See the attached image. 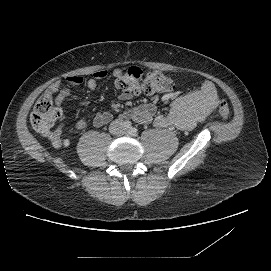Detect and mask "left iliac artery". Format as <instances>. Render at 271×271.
I'll use <instances>...</instances> for the list:
<instances>
[{
	"instance_id": "1",
	"label": "left iliac artery",
	"mask_w": 271,
	"mask_h": 271,
	"mask_svg": "<svg viewBox=\"0 0 271 271\" xmlns=\"http://www.w3.org/2000/svg\"><path fill=\"white\" fill-rule=\"evenodd\" d=\"M137 132H138V129L135 128V127H131V128L129 129V134H130V135H136Z\"/></svg>"
}]
</instances>
